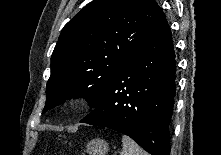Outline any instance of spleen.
Returning a JSON list of instances; mask_svg holds the SVG:
<instances>
[{
    "label": "spleen",
    "instance_id": "1",
    "mask_svg": "<svg viewBox=\"0 0 221 155\" xmlns=\"http://www.w3.org/2000/svg\"><path fill=\"white\" fill-rule=\"evenodd\" d=\"M122 146L120 155H147V153L128 136H122Z\"/></svg>",
    "mask_w": 221,
    "mask_h": 155
}]
</instances>
